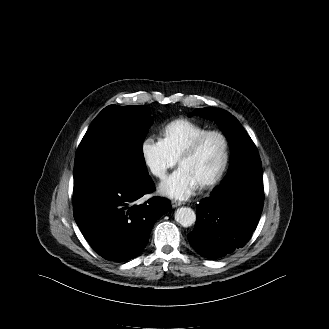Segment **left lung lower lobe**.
<instances>
[{
    "mask_svg": "<svg viewBox=\"0 0 329 329\" xmlns=\"http://www.w3.org/2000/svg\"><path fill=\"white\" fill-rule=\"evenodd\" d=\"M221 193L197 205L195 228L188 234L192 248L210 259L243 247L255 230L264 201L261 162L238 163L222 181Z\"/></svg>",
    "mask_w": 329,
    "mask_h": 329,
    "instance_id": "0a47b994",
    "label": "left lung lower lobe"
}]
</instances>
